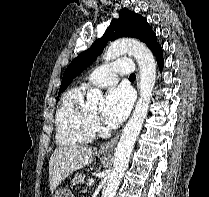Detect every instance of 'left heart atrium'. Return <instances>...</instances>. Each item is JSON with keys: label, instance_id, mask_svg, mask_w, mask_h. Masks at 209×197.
<instances>
[{"label": "left heart atrium", "instance_id": "left-heart-atrium-1", "mask_svg": "<svg viewBox=\"0 0 209 197\" xmlns=\"http://www.w3.org/2000/svg\"><path fill=\"white\" fill-rule=\"evenodd\" d=\"M133 95L126 86L111 88L105 99L103 116L110 125H118L123 122L132 107Z\"/></svg>", "mask_w": 209, "mask_h": 197}]
</instances>
